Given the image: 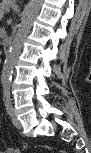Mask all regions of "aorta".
<instances>
[{
    "label": "aorta",
    "instance_id": "obj_1",
    "mask_svg": "<svg viewBox=\"0 0 91 153\" xmlns=\"http://www.w3.org/2000/svg\"><path fill=\"white\" fill-rule=\"evenodd\" d=\"M41 5L42 0H30L24 10L19 29L12 41L2 69L1 83L3 86L10 85L13 69L21 52L23 42L27 37L34 20L40 12Z\"/></svg>",
    "mask_w": 91,
    "mask_h": 153
}]
</instances>
